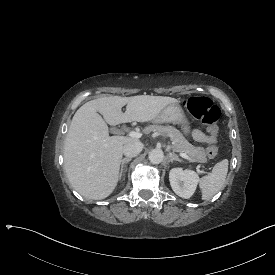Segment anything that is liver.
Listing matches in <instances>:
<instances>
[{
  "label": "liver",
  "instance_id": "1",
  "mask_svg": "<svg viewBox=\"0 0 275 275\" xmlns=\"http://www.w3.org/2000/svg\"><path fill=\"white\" fill-rule=\"evenodd\" d=\"M176 102V99L160 96H114L81 106L72 119L64 144L65 173L73 188L86 198L102 199L116 185L123 145L136 140L108 136L104 120L111 125L149 121L163 107ZM126 104V111L122 112Z\"/></svg>",
  "mask_w": 275,
  "mask_h": 275
}]
</instances>
